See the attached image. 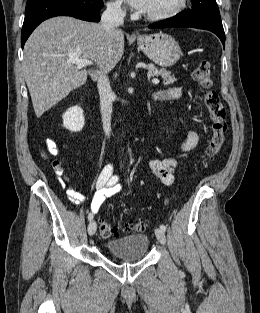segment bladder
I'll list each match as a JSON object with an SVG mask.
<instances>
[{
    "mask_svg": "<svg viewBox=\"0 0 260 313\" xmlns=\"http://www.w3.org/2000/svg\"><path fill=\"white\" fill-rule=\"evenodd\" d=\"M148 248L149 238L142 233L116 238L106 244V250L109 254L128 263L145 258L148 254Z\"/></svg>",
    "mask_w": 260,
    "mask_h": 313,
    "instance_id": "1",
    "label": "bladder"
}]
</instances>
